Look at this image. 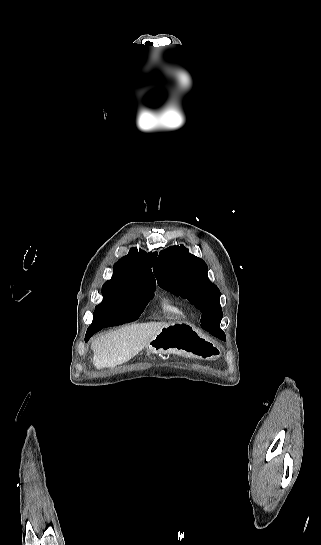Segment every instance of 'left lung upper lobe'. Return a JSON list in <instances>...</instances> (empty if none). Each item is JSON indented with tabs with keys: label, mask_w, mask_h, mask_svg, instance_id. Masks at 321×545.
<instances>
[{
	"label": "left lung upper lobe",
	"mask_w": 321,
	"mask_h": 545,
	"mask_svg": "<svg viewBox=\"0 0 321 545\" xmlns=\"http://www.w3.org/2000/svg\"><path fill=\"white\" fill-rule=\"evenodd\" d=\"M206 263L182 246L160 252L154 273L158 285L171 293L187 298L202 313L201 324L210 316L222 318L220 291L207 276Z\"/></svg>",
	"instance_id": "1"
}]
</instances>
